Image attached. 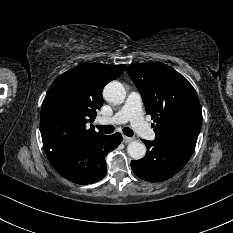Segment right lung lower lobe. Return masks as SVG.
<instances>
[{
    "label": "right lung lower lobe",
    "mask_w": 233,
    "mask_h": 233,
    "mask_svg": "<svg viewBox=\"0 0 233 233\" xmlns=\"http://www.w3.org/2000/svg\"><path fill=\"white\" fill-rule=\"evenodd\" d=\"M120 133L82 140L47 154L52 166L69 181L87 185L106 176L105 156L119 146Z\"/></svg>",
    "instance_id": "98d812e1"
}]
</instances>
